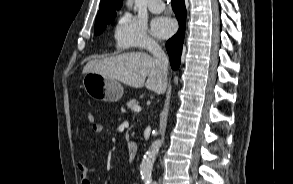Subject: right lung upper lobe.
Listing matches in <instances>:
<instances>
[{
    "label": "right lung upper lobe",
    "instance_id": "obj_1",
    "mask_svg": "<svg viewBox=\"0 0 293 184\" xmlns=\"http://www.w3.org/2000/svg\"><path fill=\"white\" fill-rule=\"evenodd\" d=\"M122 1L123 0H101L95 26L112 22L116 16V11L122 6Z\"/></svg>",
    "mask_w": 293,
    "mask_h": 184
}]
</instances>
